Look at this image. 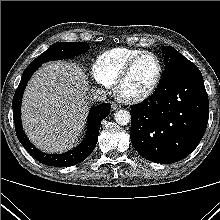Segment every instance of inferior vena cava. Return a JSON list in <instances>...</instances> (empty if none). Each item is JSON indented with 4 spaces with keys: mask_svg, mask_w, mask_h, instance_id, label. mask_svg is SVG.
<instances>
[{
    "mask_svg": "<svg viewBox=\"0 0 220 220\" xmlns=\"http://www.w3.org/2000/svg\"><path fill=\"white\" fill-rule=\"evenodd\" d=\"M107 98L106 91L101 88H92L90 93V99L101 102L105 101Z\"/></svg>",
    "mask_w": 220,
    "mask_h": 220,
    "instance_id": "obj_1",
    "label": "inferior vena cava"
}]
</instances>
